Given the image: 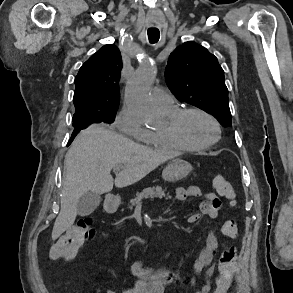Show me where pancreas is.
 Instances as JSON below:
<instances>
[{"label":"pancreas","mask_w":293,"mask_h":293,"mask_svg":"<svg viewBox=\"0 0 293 293\" xmlns=\"http://www.w3.org/2000/svg\"><path fill=\"white\" fill-rule=\"evenodd\" d=\"M163 197H166V194L164 191H162V188L160 186L148 187L145 188L142 192L137 193L136 196L130 200L129 208L132 209L133 206H135L137 203L141 202L144 199H162ZM167 198H170L168 194Z\"/></svg>","instance_id":"obj_1"}]
</instances>
